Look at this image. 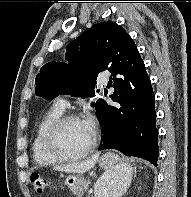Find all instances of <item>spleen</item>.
Instances as JSON below:
<instances>
[{"label":"spleen","instance_id":"obj_1","mask_svg":"<svg viewBox=\"0 0 191 197\" xmlns=\"http://www.w3.org/2000/svg\"><path fill=\"white\" fill-rule=\"evenodd\" d=\"M111 175L116 179L117 185H115L113 197H120L126 192L131 178L132 168L130 165L118 164Z\"/></svg>","mask_w":191,"mask_h":197}]
</instances>
